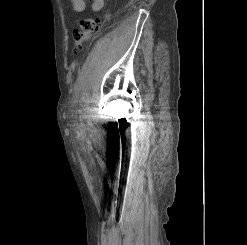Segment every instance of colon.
<instances>
[{
	"label": "colon",
	"instance_id": "5ec220e1",
	"mask_svg": "<svg viewBox=\"0 0 247 245\" xmlns=\"http://www.w3.org/2000/svg\"><path fill=\"white\" fill-rule=\"evenodd\" d=\"M107 18L108 14L105 13L101 16L85 17L79 21L72 34L74 53L81 51L83 43L93 37L100 30Z\"/></svg>",
	"mask_w": 247,
	"mask_h": 245
}]
</instances>
